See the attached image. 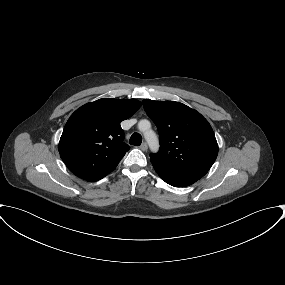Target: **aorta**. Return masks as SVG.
I'll list each match as a JSON object with an SVG mask.
<instances>
[{"label":"aorta","instance_id":"762f6f07","mask_svg":"<svg viewBox=\"0 0 285 285\" xmlns=\"http://www.w3.org/2000/svg\"><path fill=\"white\" fill-rule=\"evenodd\" d=\"M138 128L143 132L150 149L156 152L159 148V142L157 135L153 130H151V123L146 119L140 120Z\"/></svg>","mask_w":285,"mask_h":285}]
</instances>
